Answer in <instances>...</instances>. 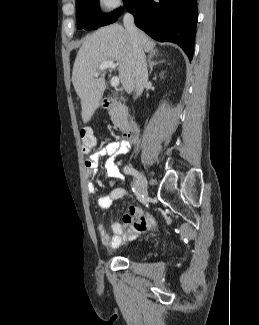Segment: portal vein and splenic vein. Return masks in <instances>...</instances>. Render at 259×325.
<instances>
[{"label": "portal vein and splenic vein", "instance_id": "1", "mask_svg": "<svg viewBox=\"0 0 259 325\" xmlns=\"http://www.w3.org/2000/svg\"><path fill=\"white\" fill-rule=\"evenodd\" d=\"M115 69L116 68V64L114 63V61H105L103 63L100 64L99 66V71L94 73V77H98L100 74V71H103L105 69ZM111 86L112 87H117L119 85V78L118 77H112L111 79Z\"/></svg>", "mask_w": 259, "mask_h": 325}]
</instances>
